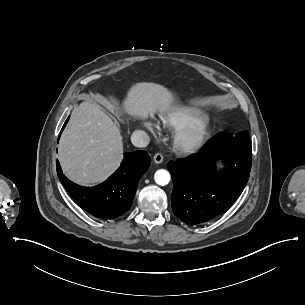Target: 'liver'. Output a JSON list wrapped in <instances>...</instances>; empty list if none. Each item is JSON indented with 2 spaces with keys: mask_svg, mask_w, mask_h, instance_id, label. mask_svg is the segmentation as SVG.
Returning a JSON list of instances; mask_svg holds the SVG:
<instances>
[{
  "mask_svg": "<svg viewBox=\"0 0 305 305\" xmlns=\"http://www.w3.org/2000/svg\"><path fill=\"white\" fill-rule=\"evenodd\" d=\"M171 97L160 86L139 84L129 98V110L146 115L168 108ZM113 112L124 113L115 95L101 96ZM120 129L99 104L83 102L74 109L59 143V158L66 175L74 182L88 185L108 177L122 160Z\"/></svg>",
  "mask_w": 305,
  "mask_h": 305,
  "instance_id": "liver-1",
  "label": "liver"
}]
</instances>
